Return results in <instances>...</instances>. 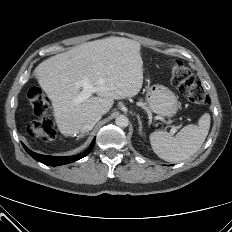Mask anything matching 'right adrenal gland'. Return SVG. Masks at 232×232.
Masks as SVG:
<instances>
[{"instance_id":"2a0ac1e0","label":"right adrenal gland","mask_w":232,"mask_h":232,"mask_svg":"<svg viewBox=\"0 0 232 232\" xmlns=\"http://www.w3.org/2000/svg\"><path fill=\"white\" fill-rule=\"evenodd\" d=\"M88 134H89V133L79 134V135L77 136L76 140H79L80 138H82V137H84V136H86V135H88Z\"/></svg>"}]
</instances>
